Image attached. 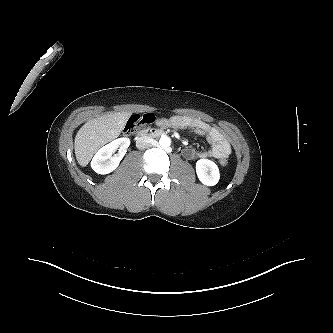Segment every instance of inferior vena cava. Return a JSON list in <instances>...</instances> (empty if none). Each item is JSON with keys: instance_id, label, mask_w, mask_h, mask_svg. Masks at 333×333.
I'll return each mask as SVG.
<instances>
[{"instance_id": "1", "label": "inferior vena cava", "mask_w": 333, "mask_h": 333, "mask_svg": "<svg viewBox=\"0 0 333 333\" xmlns=\"http://www.w3.org/2000/svg\"><path fill=\"white\" fill-rule=\"evenodd\" d=\"M150 138L147 137V136H142V137H139L137 140H136V147L138 149H146L150 146Z\"/></svg>"}]
</instances>
